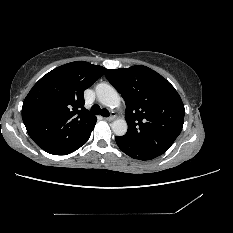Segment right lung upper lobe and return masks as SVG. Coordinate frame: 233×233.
<instances>
[{
	"instance_id": "right-lung-upper-lobe-1",
	"label": "right lung upper lobe",
	"mask_w": 233,
	"mask_h": 233,
	"mask_svg": "<svg viewBox=\"0 0 233 233\" xmlns=\"http://www.w3.org/2000/svg\"><path fill=\"white\" fill-rule=\"evenodd\" d=\"M105 71L85 61L71 62L53 69L33 86L23 102L22 119L40 148L64 155L86 139L97 119L84 108L83 91Z\"/></svg>"
}]
</instances>
